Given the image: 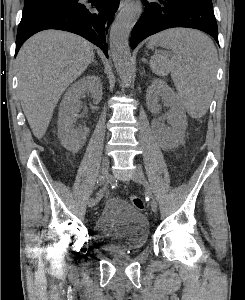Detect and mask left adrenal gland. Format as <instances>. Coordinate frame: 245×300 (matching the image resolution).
<instances>
[{
    "label": "left adrenal gland",
    "mask_w": 245,
    "mask_h": 300,
    "mask_svg": "<svg viewBox=\"0 0 245 300\" xmlns=\"http://www.w3.org/2000/svg\"><path fill=\"white\" fill-rule=\"evenodd\" d=\"M142 62L148 63V61L146 59H142Z\"/></svg>",
    "instance_id": "a2214340"
}]
</instances>
